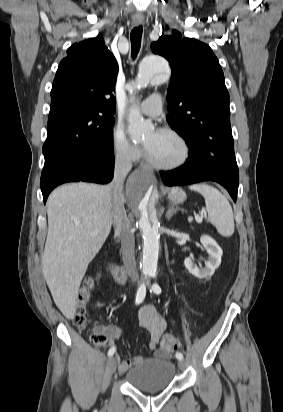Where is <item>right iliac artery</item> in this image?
I'll return each instance as SVG.
<instances>
[{
	"mask_svg": "<svg viewBox=\"0 0 283 412\" xmlns=\"http://www.w3.org/2000/svg\"><path fill=\"white\" fill-rule=\"evenodd\" d=\"M145 295H146V286H145V284L143 283V284L139 287V289H138V291H137V294H136V299H135L136 305L140 304V303L144 300ZM115 350H116L115 346L112 347V348H110L109 351H108V356H109V357L112 356V355L114 354Z\"/></svg>",
	"mask_w": 283,
	"mask_h": 412,
	"instance_id": "right-iliac-artery-1",
	"label": "right iliac artery"
}]
</instances>
